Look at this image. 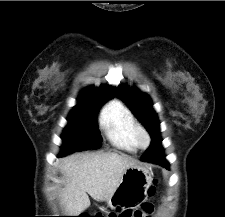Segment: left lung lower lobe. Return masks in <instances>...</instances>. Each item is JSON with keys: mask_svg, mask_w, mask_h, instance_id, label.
Instances as JSON below:
<instances>
[{"mask_svg": "<svg viewBox=\"0 0 225 217\" xmlns=\"http://www.w3.org/2000/svg\"><path fill=\"white\" fill-rule=\"evenodd\" d=\"M142 160L162 165L165 168L169 167L168 162L164 159V154L159 139L152 140L149 150Z\"/></svg>", "mask_w": 225, "mask_h": 217, "instance_id": "1", "label": "left lung lower lobe"}]
</instances>
